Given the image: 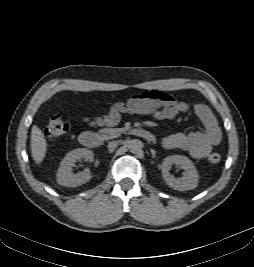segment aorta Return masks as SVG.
I'll use <instances>...</instances> for the list:
<instances>
[{"instance_id": "obj_1", "label": "aorta", "mask_w": 254, "mask_h": 267, "mask_svg": "<svg viewBox=\"0 0 254 267\" xmlns=\"http://www.w3.org/2000/svg\"><path fill=\"white\" fill-rule=\"evenodd\" d=\"M142 146H143L142 142L138 139H133L129 141V144H128V148L130 152L135 153V154L141 152Z\"/></svg>"}]
</instances>
